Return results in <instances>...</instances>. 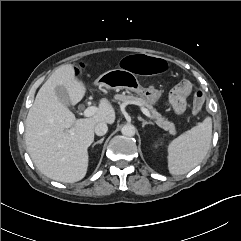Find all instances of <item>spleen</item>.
<instances>
[{
    "label": "spleen",
    "mask_w": 241,
    "mask_h": 241,
    "mask_svg": "<svg viewBox=\"0 0 241 241\" xmlns=\"http://www.w3.org/2000/svg\"><path fill=\"white\" fill-rule=\"evenodd\" d=\"M211 138L212 119L207 117L172 140L167 147L169 172L172 175H182L199 165L210 149Z\"/></svg>",
    "instance_id": "spleen-1"
}]
</instances>
